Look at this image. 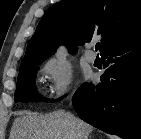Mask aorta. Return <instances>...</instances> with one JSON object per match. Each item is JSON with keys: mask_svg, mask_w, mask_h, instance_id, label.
Segmentation results:
<instances>
[{"mask_svg": "<svg viewBox=\"0 0 141 139\" xmlns=\"http://www.w3.org/2000/svg\"><path fill=\"white\" fill-rule=\"evenodd\" d=\"M65 58H66V50L63 47H60L55 53V60L57 63L62 64L64 63Z\"/></svg>", "mask_w": 141, "mask_h": 139, "instance_id": "762f6f07", "label": "aorta"}]
</instances>
